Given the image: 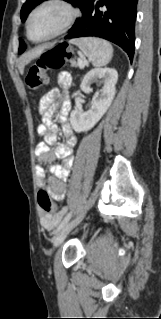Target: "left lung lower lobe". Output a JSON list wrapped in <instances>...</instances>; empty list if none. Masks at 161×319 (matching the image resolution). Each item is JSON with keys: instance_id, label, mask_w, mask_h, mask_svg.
<instances>
[{"instance_id": "0a47b994", "label": "left lung lower lobe", "mask_w": 161, "mask_h": 319, "mask_svg": "<svg viewBox=\"0 0 161 319\" xmlns=\"http://www.w3.org/2000/svg\"><path fill=\"white\" fill-rule=\"evenodd\" d=\"M138 0H90L65 39L95 36L120 46L132 61Z\"/></svg>"}]
</instances>
